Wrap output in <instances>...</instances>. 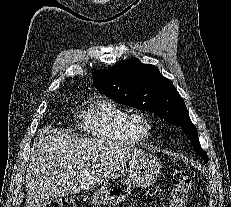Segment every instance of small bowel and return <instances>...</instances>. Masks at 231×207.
<instances>
[{"mask_svg": "<svg viewBox=\"0 0 231 207\" xmlns=\"http://www.w3.org/2000/svg\"><path fill=\"white\" fill-rule=\"evenodd\" d=\"M142 207H148L147 205H143Z\"/></svg>", "mask_w": 231, "mask_h": 207, "instance_id": "1", "label": "small bowel"}]
</instances>
